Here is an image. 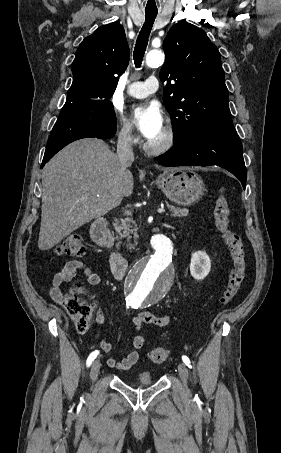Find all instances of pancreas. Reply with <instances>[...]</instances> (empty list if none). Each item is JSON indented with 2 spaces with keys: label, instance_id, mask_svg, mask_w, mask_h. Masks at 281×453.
<instances>
[{
  "label": "pancreas",
  "instance_id": "pancreas-1",
  "mask_svg": "<svg viewBox=\"0 0 281 453\" xmlns=\"http://www.w3.org/2000/svg\"><path fill=\"white\" fill-rule=\"evenodd\" d=\"M168 208L173 210L172 216H187L188 210L187 208H175V206H171L168 204ZM115 231H117L118 235H120V239H131V235H133V239H138L137 231L138 227H136V222L133 218H120V220H116L114 222Z\"/></svg>",
  "mask_w": 281,
  "mask_h": 453
}]
</instances>
